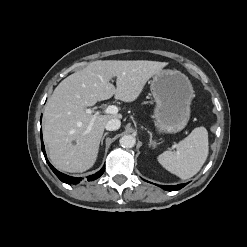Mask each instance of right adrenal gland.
I'll return each mask as SVG.
<instances>
[{"label": "right adrenal gland", "instance_id": "obj_1", "mask_svg": "<svg viewBox=\"0 0 247 247\" xmlns=\"http://www.w3.org/2000/svg\"><path fill=\"white\" fill-rule=\"evenodd\" d=\"M108 135V132L104 133L102 139H101V146L103 145L104 138Z\"/></svg>", "mask_w": 247, "mask_h": 247}]
</instances>
